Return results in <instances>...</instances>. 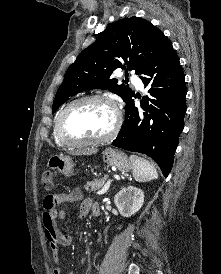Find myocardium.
Instances as JSON below:
<instances>
[{"instance_id":"f54148a6","label":"myocardium","mask_w":221,"mask_h":274,"mask_svg":"<svg viewBox=\"0 0 221 274\" xmlns=\"http://www.w3.org/2000/svg\"><path fill=\"white\" fill-rule=\"evenodd\" d=\"M89 102H100L107 104L111 107L114 113V123L109 130L107 134L104 136L98 137V138H92V139H76L69 136L65 130V119L67 114L71 109H73L75 106L83 104V103H89ZM122 124V113L118 106V104L109 97L103 96V95H90V96H84L78 99H75L71 101L61 112L58 118L57 122V132L59 137L62 141H64L67 145L70 146H88V145H96V144H102L105 142L110 141L113 139L116 134L118 133L120 127Z\"/></svg>"}]
</instances>
